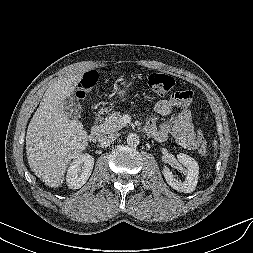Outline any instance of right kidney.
Listing matches in <instances>:
<instances>
[{"mask_svg": "<svg viewBox=\"0 0 253 253\" xmlns=\"http://www.w3.org/2000/svg\"><path fill=\"white\" fill-rule=\"evenodd\" d=\"M94 166V158L89 154H81L77 156L70 164L66 182L69 188H81L91 175Z\"/></svg>", "mask_w": 253, "mask_h": 253, "instance_id": "1", "label": "right kidney"}]
</instances>
